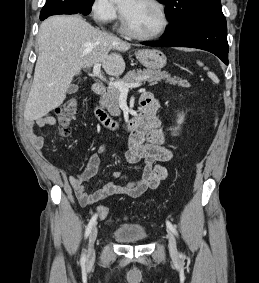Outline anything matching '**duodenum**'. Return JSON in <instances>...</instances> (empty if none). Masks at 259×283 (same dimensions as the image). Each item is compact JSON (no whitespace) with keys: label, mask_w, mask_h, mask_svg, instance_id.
I'll list each match as a JSON object with an SVG mask.
<instances>
[{"label":"duodenum","mask_w":259,"mask_h":283,"mask_svg":"<svg viewBox=\"0 0 259 283\" xmlns=\"http://www.w3.org/2000/svg\"><path fill=\"white\" fill-rule=\"evenodd\" d=\"M92 89L93 92L98 96L103 95L106 90L105 86L100 82H95L92 86ZM140 104L141 110L139 114L124 125L115 123L108 117L106 112L98 106L95 108V114L97 118L105 126H107V128H118L120 130H123L125 133L133 135L134 133L138 132L142 127H144L148 123L150 117L156 113V108L151 105L150 100L141 98Z\"/></svg>","instance_id":"1"}]
</instances>
